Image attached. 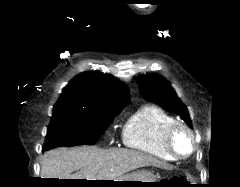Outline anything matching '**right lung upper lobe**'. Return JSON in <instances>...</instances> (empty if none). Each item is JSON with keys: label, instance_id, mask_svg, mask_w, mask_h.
I'll list each match as a JSON object with an SVG mask.
<instances>
[{"label": "right lung upper lobe", "instance_id": "right-lung-upper-lobe-1", "mask_svg": "<svg viewBox=\"0 0 240 187\" xmlns=\"http://www.w3.org/2000/svg\"><path fill=\"white\" fill-rule=\"evenodd\" d=\"M129 91L111 75L88 71L78 75L63 89L54 108L69 107L86 111L120 110L127 104Z\"/></svg>", "mask_w": 240, "mask_h": 187}]
</instances>
